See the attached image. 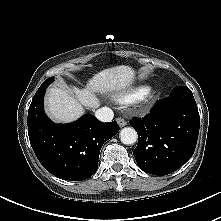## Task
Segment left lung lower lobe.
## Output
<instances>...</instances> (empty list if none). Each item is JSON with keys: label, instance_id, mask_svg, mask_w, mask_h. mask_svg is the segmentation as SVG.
<instances>
[{"label": "left lung lower lobe", "instance_id": "0a47b994", "mask_svg": "<svg viewBox=\"0 0 221 221\" xmlns=\"http://www.w3.org/2000/svg\"><path fill=\"white\" fill-rule=\"evenodd\" d=\"M130 125L138 133L133 151L138 166L153 175H167L193 155L200 126L197 104L187 86L175 87L145 117Z\"/></svg>", "mask_w": 221, "mask_h": 221}]
</instances>
